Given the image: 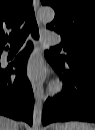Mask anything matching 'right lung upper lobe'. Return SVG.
Masks as SVG:
<instances>
[{"label":"right lung upper lobe","mask_w":95,"mask_h":130,"mask_svg":"<svg viewBox=\"0 0 95 130\" xmlns=\"http://www.w3.org/2000/svg\"><path fill=\"white\" fill-rule=\"evenodd\" d=\"M31 3L32 0H0V53L8 39L5 32L10 30V37L19 32Z\"/></svg>","instance_id":"1"}]
</instances>
